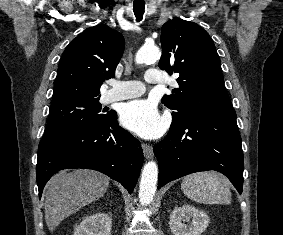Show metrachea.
I'll use <instances>...</instances> for the list:
<instances>
[{
  "mask_svg": "<svg viewBox=\"0 0 283 235\" xmlns=\"http://www.w3.org/2000/svg\"><path fill=\"white\" fill-rule=\"evenodd\" d=\"M145 9V3L144 2H134L133 3V11L134 15L136 17L137 22L142 20L143 14Z\"/></svg>",
  "mask_w": 283,
  "mask_h": 235,
  "instance_id": "3493384b",
  "label": "trachea"
}]
</instances>
